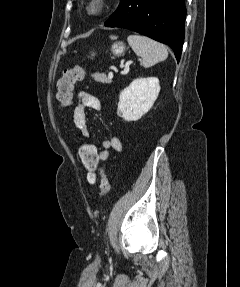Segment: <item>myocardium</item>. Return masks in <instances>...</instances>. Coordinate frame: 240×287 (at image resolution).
I'll return each mask as SVG.
<instances>
[{
	"label": "myocardium",
	"mask_w": 240,
	"mask_h": 287,
	"mask_svg": "<svg viewBox=\"0 0 240 287\" xmlns=\"http://www.w3.org/2000/svg\"><path fill=\"white\" fill-rule=\"evenodd\" d=\"M107 7L106 0H88L85 5V11L89 16L101 15Z\"/></svg>",
	"instance_id": "myocardium-1"
}]
</instances>
